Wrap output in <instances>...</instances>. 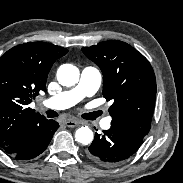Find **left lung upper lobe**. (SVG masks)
I'll return each mask as SVG.
<instances>
[{"label": "left lung upper lobe", "instance_id": "1", "mask_svg": "<svg viewBox=\"0 0 183 183\" xmlns=\"http://www.w3.org/2000/svg\"><path fill=\"white\" fill-rule=\"evenodd\" d=\"M103 73V97L111 124L145 137L151 126L156 79L149 61L129 44L109 40L82 48Z\"/></svg>", "mask_w": 183, "mask_h": 183}]
</instances>
